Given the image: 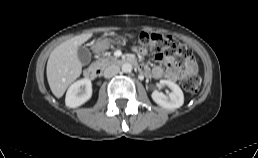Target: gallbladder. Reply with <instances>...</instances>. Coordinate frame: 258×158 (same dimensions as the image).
<instances>
[{"label":"gallbladder","mask_w":258,"mask_h":158,"mask_svg":"<svg viewBox=\"0 0 258 158\" xmlns=\"http://www.w3.org/2000/svg\"><path fill=\"white\" fill-rule=\"evenodd\" d=\"M77 55H78V59L82 65H87L90 63L91 52L87 47H85V46L79 47Z\"/></svg>","instance_id":"1"}]
</instances>
